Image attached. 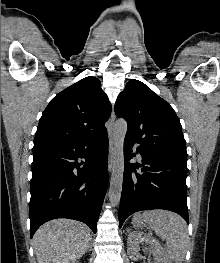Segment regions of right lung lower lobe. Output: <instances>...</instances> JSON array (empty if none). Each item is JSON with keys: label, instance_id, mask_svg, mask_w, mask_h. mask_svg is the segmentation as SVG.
Masks as SVG:
<instances>
[{"label": "right lung lower lobe", "instance_id": "1", "mask_svg": "<svg viewBox=\"0 0 220 263\" xmlns=\"http://www.w3.org/2000/svg\"><path fill=\"white\" fill-rule=\"evenodd\" d=\"M107 158V131L89 139L33 147L31 238L39 226L56 218L84 222L96 232L108 185Z\"/></svg>", "mask_w": 220, "mask_h": 263}]
</instances>
